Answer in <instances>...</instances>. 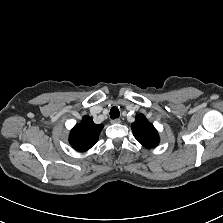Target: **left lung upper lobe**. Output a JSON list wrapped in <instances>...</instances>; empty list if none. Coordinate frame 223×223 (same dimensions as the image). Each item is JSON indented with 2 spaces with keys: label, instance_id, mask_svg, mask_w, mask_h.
<instances>
[{
  "label": "left lung upper lobe",
  "instance_id": "1",
  "mask_svg": "<svg viewBox=\"0 0 223 223\" xmlns=\"http://www.w3.org/2000/svg\"><path fill=\"white\" fill-rule=\"evenodd\" d=\"M131 129L137 141L147 148H153L159 144V135L154 126L143 114L135 117Z\"/></svg>",
  "mask_w": 223,
  "mask_h": 223
}]
</instances>
